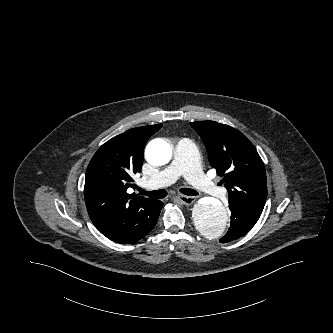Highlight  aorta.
<instances>
[{"label": "aorta", "mask_w": 333, "mask_h": 333, "mask_svg": "<svg viewBox=\"0 0 333 333\" xmlns=\"http://www.w3.org/2000/svg\"><path fill=\"white\" fill-rule=\"evenodd\" d=\"M147 161L153 166H164L172 158V148L166 141L156 139L146 148ZM195 227L207 238L224 235L229 228V214L220 202L202 201L193 208Z\"/></svg>", "instance_id": "762f6f07"}]
</instances>
